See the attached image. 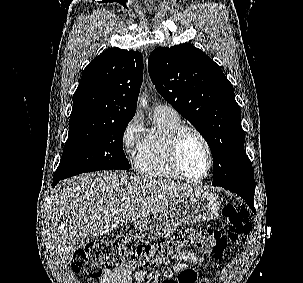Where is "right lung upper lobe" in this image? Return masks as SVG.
Wrapping results in <instances>:
<instances>
[{"label":"right lung upper lobe","instance_id":"cb5924a9","mask_svg":"<svg viewBox=\"0 0 303 283\" xmlns=\"http://www.w3.org/2000/svg\"><path fill=\"white\" fill-rule=\"evenodd\" d=\"M143 80L141 53L111 48L86 66L70 120L122 122L133 118Z\"/></svg>","mask_w":303,"mask_h":283}]
</instances>
